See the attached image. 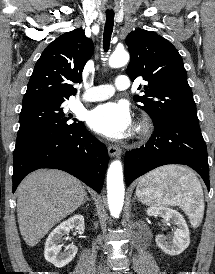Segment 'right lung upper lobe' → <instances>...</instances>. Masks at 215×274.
Masks as SVG:
<instances>
[{"label":"right lung upper lobe","mask_w":215,"mask_h":274,"mask_svg":"<svg viewBox=\"0 0 215 274\" xmlns=\"http://www.w3.org/2000/svg\"><path fill=\"white\" fill-rule=\"evenodd\" d=\"M84 30L75 29L55 39L43 51L30 77L22 106L41 101L65 102L77 90L82 71L93 53Z\"/></svg>","instance_id":"right-lung-upper-lobe-1"}]
</instances>
